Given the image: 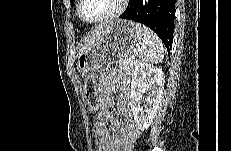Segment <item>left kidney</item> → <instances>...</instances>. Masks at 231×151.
Listing matches in <instances>:
<instances>
[{
  "label": "left kidney",
  "instance_id": "5707ae66",
  "mask_svg": "<svg viewBox=\"0 0 231 151\" xmlns=\"http://www.w3.org/2000/svg\"><path fill=\"white\" fill-rule=\"evenodd\" d=\"M164 73L149 64L139 63L132 74L130 107L137 127L144 131L153 122L162 100ZM142 92H146L141 105Z\"/></svg>",
  "mask_w": 231,
  "mask_h": 151
}]
</instances>
